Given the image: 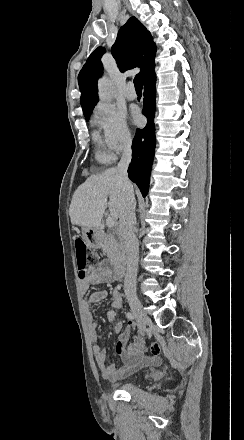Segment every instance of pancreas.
I'll list each match as a JSON object with an SVG mask.
<instances>
[{
	"mask_svg": "<svg viewBox=\"0 0 244 440\" xmlns=\"http://www.w3.org/2000/svg\"><path fill=\"white\" fill-rule=\"evenodd\" d=\"M120 236L118 232H112V234H105V232H101V248L104 254H107V258H109L112 264H118L121 260L122 256V244L118 242Z\"/></svg>",
	"mask_w": 244,
	"mask_h": 440,
	"instance_id": "pancreas-1",
	"label": "pancreas"
}]
</instances>
